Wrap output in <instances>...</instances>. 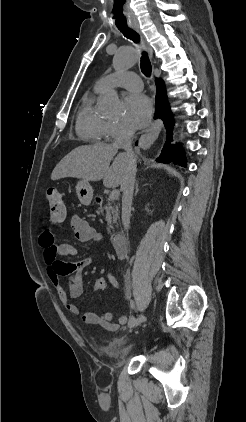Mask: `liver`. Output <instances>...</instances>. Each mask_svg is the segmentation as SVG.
I'll return each mask as SVG.
<instances>
[{
	"label": "liver",
	"mask_w": 246,
	"mask_h": 422,
	"mask_svg": "<svg viewBox=\"0 0 246 422\" xmlns=\"http://www.w3.org/2000/svg\"><path fill=\"white\" fill-rule=\"evenodd\" d=\"M117 151L118 148L107 143L77 147L56 165L51 179L74 177L88 182L103 179L105 187H117L122 184L128 170L127 157L124 153L116 156Z\"/></svg>",
	"instance_id": "liver-1"
}]
</instances>
